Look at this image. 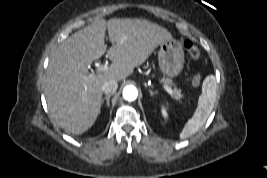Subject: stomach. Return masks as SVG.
Here are the masks:
<instances>
[{"label":"stomach","instance_id":"stomach-1","mask_svg":"<svg viewBox=\"0 0 267 178\" xmlns=\"http://www.w3.org/2000/svg\"><path fill=\"white\" fill-rule=\"evenodd\" d=\"M159 67L167 77L178 76L184 67V50L179 41L167 39L160 44L158 51Z\"/></svg>","mask_w":267,"mask_h":178}]
</instances>
